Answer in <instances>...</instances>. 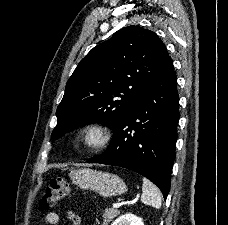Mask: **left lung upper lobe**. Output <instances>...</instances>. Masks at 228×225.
<instances>
[{
  "label": "left lung upper lobe",
  "instance_id": "1",
  "mask_svg": "<svg viewBox=\"0 0 228 225\" xmlns=\"http://www.w3.org/2000/svg\"><path fill=\"white\" fill-rule=\"evenodd\" d=\"M170 60L156 33L134 25L120 29L93 48L69 78L51 137L92 122L113 130Z\"/></svg>",
  "mask_w": 228,
  "mask_h": 225
}]
</instances>
